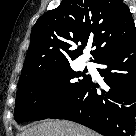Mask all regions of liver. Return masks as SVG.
<instances>
[{
  "instance_id": "6515ba94",
  "label": "liver",
  "mask_w": 136,
  "mask_h": 136,
  "mask_svg": "<svg viewBox=\"0 0 136 136\" xmlns=\"http://www.w3.org/2000/svg\"><path fill=\"white\" fill-rule=\"evenodd\" d=\"M18 136H97L88 128L64 120L44 121L24 129Z\"/></svg>"
}]
</instances>
